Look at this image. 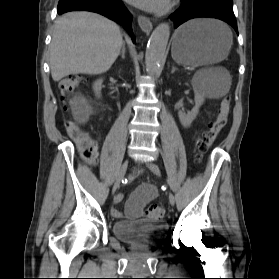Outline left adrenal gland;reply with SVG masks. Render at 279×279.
<instances>
[{
	"instance_id": "left-adrenal-gland-1",
	"label": "left adrenal gland",
	"mask_w": 279,
	"mask_h": 279,
	"mask_svg": "<svg viewBox=\"0 0 279 279\" xmlns=\"http://www.w3.org/2000/svg\"><path fill=\"white\" fill-rule=\"evenodd\" d=\"M176 70H177V68L173 65V66H172L171 73L173 74Z\"/></svg>"
}]
</instances>
